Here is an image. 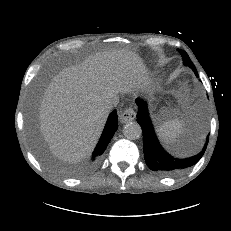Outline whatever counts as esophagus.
<instances>
[{
  "mask_svg": "<svg viewBox=\"0 0 231 231\" xmlns=\"http://www.w3.org/2000/svg\"><path fill=\"white\" fill-rule=\"evenodd\" d=\"M136 118V112L132 107L125 108L119 115L121 123H128Z\"/></svg>",
  "mask_w": 231,
  "mask_h": 231,
  "instance_id": "esophagus-1",
  "label": "esophagus"
}]
</instances>
